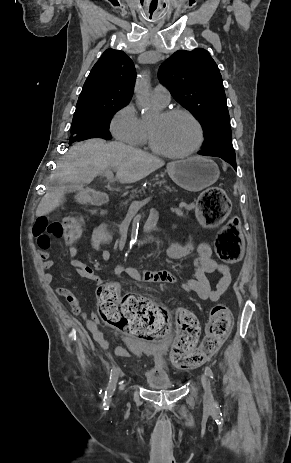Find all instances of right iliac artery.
I'll return each mask as SVG.
<instances>
[{"mask_svg": "<svg viewBox=\"0 0 291 463\" xmlns=\"http://www.w3.org/2000/svg\"><path fill=\"white\" fill-rule=\"evenodd\" d=\"M117 378L118 376H117L116 370L111 371L109 385L107 387V391H105V397H104V403H103L104 410H108L109 408V403H110L109 398L111 397V394L114 390L113 387L115 383L117 382Z\"/></svg>", "mask_w": 291, "mask_h": 463, "instance_id": "obj_1", "label": "right iliac artery"}]
</instances>
